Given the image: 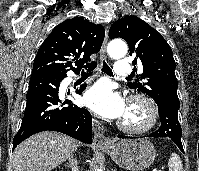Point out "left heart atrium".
Here are the masks:
<instances>
[{"label":"left heart atrium","mask_w":199,"mask_h":171,"mask_svg":"<svg viewBox=\"0 0 199 171\" xmlns=\"http://www.w3.org/2000/svg\"><path fill=\"white\" fill-rule=\"evenodd\" d=\"M84 104L95 113L108 119L123 117L126 104L119 93L107 82L92 86L83 97Z\"/></svg>","instance_id":"obj_1"}]
</instances>
